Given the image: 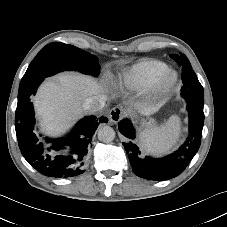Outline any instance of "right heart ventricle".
<instances>
[{
	"label": "right heart ventricle",
	"instance_id": "e07e8e85",
	"mask_svg": "<svg viewBox=\"0 0 227 227\" xmlns=\"http://www.w3.org/2000/svg\"><path fill=\"white\" fill-rule=\"evenodd\" d=\"M168 70L164 62L147 59L140 61L121 76V84L128 90H142L154 85L159 77Z\"/></svg>",
	"mask_w": 227,
	"mask_h": 227
}]
</instances>
